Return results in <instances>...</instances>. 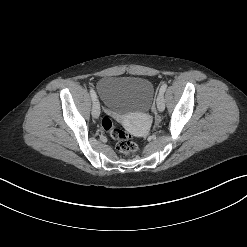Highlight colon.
<instances>
[{
  "label": "colon",
  "mask_w": 247,
  "mask_h": 247,
  "mask_svg": "<svg viewBox=\"0 0 247 247\" xmlns=\"http://www.w3.org/2000/svg\"><path fill=\"white\" fill-rule=\"evenodd\" d=\"M102 128L116 141V149L122 154H134L138 151V144L131 136L114 126L110 117L105 116L101 122Z\"/></svg>",
  "instance_id": "5ec220e1"
}]
</instances>
